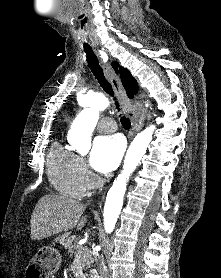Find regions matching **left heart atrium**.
Returning <instances> with one entry per match:
<instances>
[{
	"label": "left heart atrium",
	"instance_id": "1",
	"mask_svg": "<svg viewBox=\"0 0 221 278\" xmlns=\"http://www.w3.org/2000/svg\"><path fill=\"white\" fill-rule=\"evenodd\" d=\"M124 144L119 136L98 137L90 154V165L100 174L112 172L119 164Z\"/></svg>",
	"mask_w": 221,
	"mask_h": 278
}]
</instances>
